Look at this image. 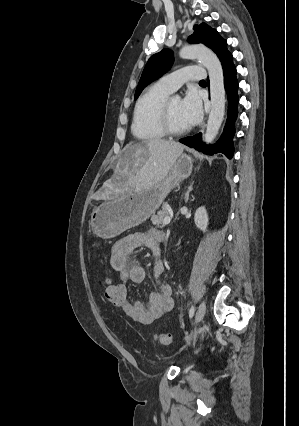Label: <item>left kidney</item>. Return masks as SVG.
I'll use <instances>...</instances> for the list:
<instances>
[{
  "mask_svg": "<svg viewBox=\"0 0 299 426\" xmlns=\"http://www.w3.org/2000/svg\"><path fill=\"white\" fill-rule=\"evenodd\" d=\"M208 214L204 206L199 207L194 215V221L196 226L203 232L206 231L208 226Z\"/></svg>",
  "mask_w": 299,
  "mask_h": 426,
  "instance_id": "1",
  "label": "left kidney"
}]
</instances>
